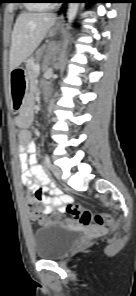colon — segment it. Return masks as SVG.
<instances>
[{"label":"colon","mask_w":136,"mask_h":296,"mask_svg":"<svg viewBox=\"0 0 136 296\" xmlns=\"http://www.w3.org/2000/svg\"><path fill=\"white\" fill-rule=\"evenodd\" d=\"M40 193H36L26 201V208L31 217L38 220L42 225L55 224L61 221L62 217L53 214L49 217L41 215ZM66 215L79 221L82 225H96L101 228L114 227L113 217L108 213L93 214L79 203L70 202L66 208Z\"/></svg>","instance_id":"obj_1"}]
</instances>
